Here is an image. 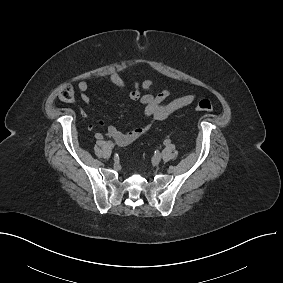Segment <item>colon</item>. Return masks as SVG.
<instances>
[{
    "label": "colon",
    "instance_id": "1",
    "mask_svg": "<svg viewBox=\"0 0 283 283\" xmlns=\"http://www.w3.org/2000/svg\"><path fill=\"white\" fill-rule=\"evenodd\" d=\"M59 99L63 102L71 103L75 99V93L73 87L70 85H65L59 90ZM197 111L209 112L213 110V103L209 99H202L199 101Z\"/></svg>",
    "mask_w": 283,
    "mask_h": 283
}]
</instances>
